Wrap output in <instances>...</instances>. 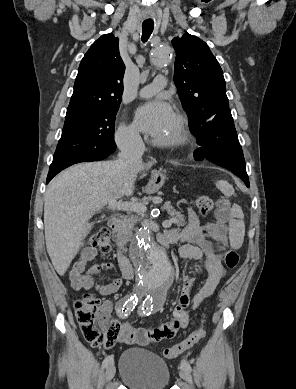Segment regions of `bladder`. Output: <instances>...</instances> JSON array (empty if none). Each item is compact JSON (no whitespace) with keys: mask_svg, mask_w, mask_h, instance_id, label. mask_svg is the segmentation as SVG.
<instances>
[{"mask_svg":"<svg viewBox=\"0 0 296 389\" xmlns=\"http://www.w3.org/2000/svg\"><path fill=\"white\" fill-rule=\"evenodd\" d=\"M119 374L122 382L130 389H166L170 382L166 362L140 348H130L121 354Z\"/></svg>","mask_w":296,"mask_h":389,"instance_id":"1","label":"bladder"}]
</instances>
